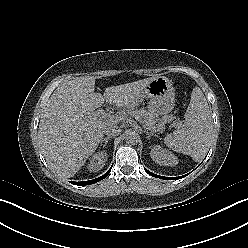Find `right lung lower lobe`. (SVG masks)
<instances>
[{
	"instance_id": "right-lung-lower-lobe-1",
	"label": "right lung lower lobe",
	"mask_w": 248,
	"mask_h": 248,
	"mask_svg": "<svg viewBox=\"0 0 248 248\" xmlns=\"http://www.w3.org/2000/svg\"><path fill=\"white\" fill-rule=\"evenodd\" d=\"M110 171H111V168L103 176H101L99 178L89 180V181H83V182H73V184L80 186V185H90V184L96 183V182L104 179L110 173Z\"/></svg>"
}]
</instances>
